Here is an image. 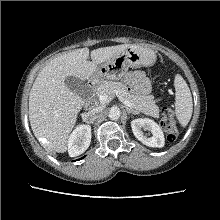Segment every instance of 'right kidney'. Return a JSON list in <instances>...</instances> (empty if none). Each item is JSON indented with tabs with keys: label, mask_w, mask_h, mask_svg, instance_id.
<instances>
[{
	"label": "right kidney",
	"mask_w": 220,
	"mask_h": 220,
	"mask_svg": "<svg viewBox=\"0 0 220 220\" xmlns=\"http://www.w3.org/2000/svg\"><path fill=\"white\" fill-rule=\"evenodd\" d=\"M91 142V127L89 125H79L68 138V153L70 157L84 153Z\"/></svg>",
	"instance_id": "1"
}]
</instances>
